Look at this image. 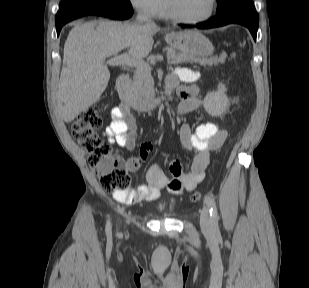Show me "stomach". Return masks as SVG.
Listing matches in <instances>:
<instances>
[{
  "label": "stomach",
  "instance_id": "0dacf381",
  "mask_svg": "<svg viewBox=\"0 0 309 288\" xmlns=\"http://www.w3.org/2000/svg\"><path fill=\"white\" fill-rule=\"evenodd\" d=\"M169 46L190 57H206L213 52V45L201 32L185 30L165 36Z\"/></svg>",
  "mask_w": 309,
  "mask_h": 288
}]
</instances>
